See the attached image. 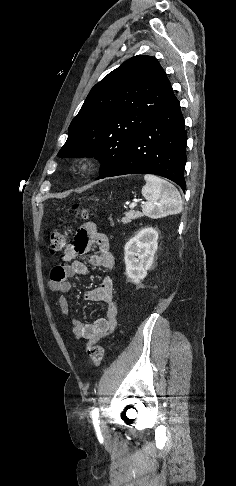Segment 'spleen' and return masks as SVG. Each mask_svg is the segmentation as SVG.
<instances>
[{
    "instance_id": "obj_1",
    "label": "spleen",
    "mask_w": 236,
    "mask_h": 486,
    "mask_svg": "<svg viewBox=\"0 0 236 486\" xmlns=\"http://www.w3.org/2000/svg\"><path fill=\"white\" fill-rule=\"evenodd\" d=\"M144 179L146 184L141 191L147 200L142 207L144 215L157 218L181 213L183 203L174 185L151 174H146Z\"/></svg>"
}]
</instances>
